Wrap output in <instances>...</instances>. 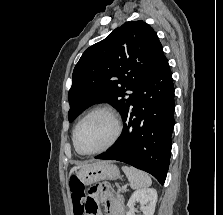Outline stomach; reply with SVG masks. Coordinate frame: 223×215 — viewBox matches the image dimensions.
<instances>
[{
	"label": "stomach",
	"instance_id": "obj_1",
	"mask_svg": "<svg viewBox=\"0 0 223 215\" xmlns=\"http://www.w3.org/2000/svg\"><path fill=\"white\" fill-rule=\"evenodd\" d=\"M118 177H120V171L112 161H97V163H90L88 167H82L70 179H78L83 185H92L101 179H118ZM70 190H72L71 187H69Z\"/></svg>",
	"mask_w": 223,
	"mask_h": 215
}]
</instances>
